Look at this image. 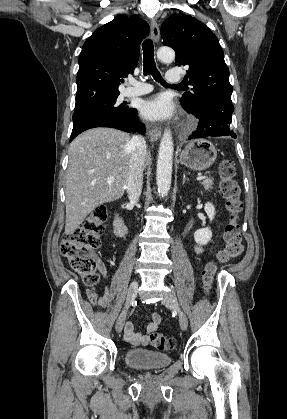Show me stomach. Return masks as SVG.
I'll return each mask as SVG.
<instances>
[{"label":"stomach","mask_w":287,"mask_h":419,"mask_svg":"<svg viewBox=\"0 0 287 419\" xmlns=\"http://www.w3.org/2000/svg\"><path fill=\"white\" fill-rule=\"evenodd\" d=\"M215 146L206 139H194L186 144L179 155L182 165L196 171L209 168L216 160Z\"/></svg>","instance_id":"1"}]
</instances>
